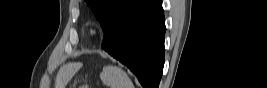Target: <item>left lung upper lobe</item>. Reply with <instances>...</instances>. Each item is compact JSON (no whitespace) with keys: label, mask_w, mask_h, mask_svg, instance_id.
Segmentation results:
<instances>
[{"label":"left lung upper lobe","mask_w":267,"mask_h":88,"mask_svg":"<svg viewBox=\"0 0 267 88\" xmlns=\"http://www.w3.org/2000/svg\"><path fill=\"white\" fill-rule=\"evenodd\" d=\"M138 0H85L106 33L117 19Z\"/></svg>","instance_id":"left-lung-upper-lobe-1"}]
</instances>
